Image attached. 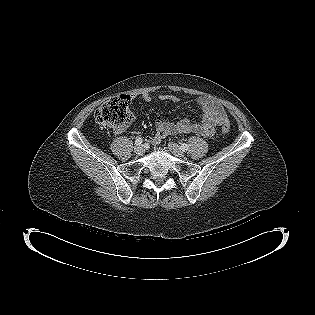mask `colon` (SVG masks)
Segmentation results:
<instances>
[{
	"label": "colon",
	"mask_w": 315,
	"mask_h": 315,
	"mask_svg": "<svg viewBox=\"0 0 315 315\" xmlns=\"http://www.w3.org/2000/svg\"><path fill=\"white\" fill-rule=\"evenodd\" d=\"M130 97L119 95L103 103L95 112L96 121L103 127L113 130H123L133 120V114L129 108ZM222 131L228 133L229 124H222Z\"/></svg>",
	"instance_id": "5ec220e1"
}]
</instances>
